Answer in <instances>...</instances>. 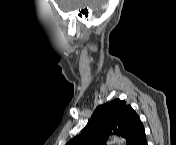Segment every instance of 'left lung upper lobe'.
<instances>
[{
	"label": "left lung upper lobe",
	"mask_w": 176,
	"mask_h": 145,
	"mask_svg": "<svg viewBox=\"0 0 176 145\" xmlns=\"http://www.w3.org/2000/svg\"><path fill=\"white\" fill-rule=\"evenodd\" d=\"M124 137L127 145H135L145 132L144 126L130 105L114 99L98 106L81 135L74 137L67 145H105V139L112 133Z\"/></svg>",
	"instance_id": "5c2ea615"
}]
</instances>
